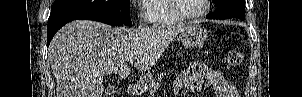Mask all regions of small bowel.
Listing matches in <instances>:
<instances>
[{"mask_svg": "<svg viewBox=\"0 0 302 97\" xmlns=\"http://www.w3.org/2000/svg\"><path fill=\"white\" fill-rule=\"evenodd\" d=\"M205 82L213 86L215 97H237L233 85L221 72L201 63L190 65L176 77L173 83V92L175 96L185 89L199 92Z\"/></svg>", "mask_w": 302, "mask_h": 97, "instance_id": "obj_1", "label": "small bowel"}]
</instances>
